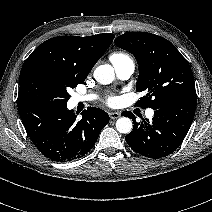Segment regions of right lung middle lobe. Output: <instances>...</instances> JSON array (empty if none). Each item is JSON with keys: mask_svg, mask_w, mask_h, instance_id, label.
Masks as SVG:
<instances>
[{"mask_svg": "<svg viewBox=\"0 0 212 212\" xmlns=\"http://www.w3.org/2000/svg\"><path fill=\"white\" fill-rule=\"evenodd\" d=\"M83 83L52 71L35 69L20 80L18 100L52 101L66 104L67 89Z\"/></svg>", "mask_w": 212, "mask_h": 212, "instance_id": "right-lung-middle-lobe-1", "label": "right lung middle lobe"}]
</instances>
